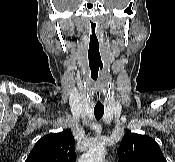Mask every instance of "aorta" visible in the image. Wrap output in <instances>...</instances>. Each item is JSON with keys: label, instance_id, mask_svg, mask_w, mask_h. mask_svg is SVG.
I'll return each instance as SVG.
<instances>
[{"label": "aorta", "instance_id": "obj_1", "mask_svg": "<svg viewBox=\"0 0 175 162\" xmlns=\"http://www.w3.org/2000/svg\"><path fill=\"white\" fill-rule=\"evenodd\" d=\"M105 154L106 150L103 145H95L81 156L79 162H102Z\"/></svg>", "mask_w": 175, "mask_h": 162}]
</instances>
